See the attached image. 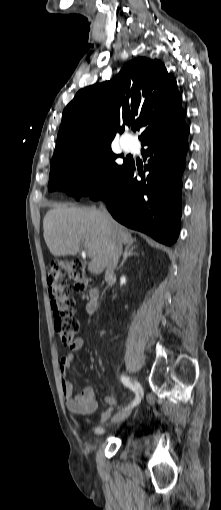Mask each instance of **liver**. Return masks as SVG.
Here are the masks:
<instances>
[{"mask_svg": "<svg viewBox=\"0 0 221 510\" xmlns=\"http://www.w3.org/2000/svg\"><path fill=\"white\" fill-rule=\"evenodd\" d=\"M43 236L55 257L75 256L84 243L92 253L89 272L101 274L107 267V252L113 236L121 244L135 240L122 225L100 209L58 205L50 209L43 220Z\"/></svg>", "mask_w": 221, "mask_h": 510, "instance_id": "obj_1", "label": "liver"}]
</instances>
